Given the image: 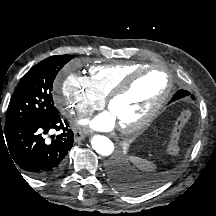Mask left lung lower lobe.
I'll use <instances>...</instances> for the list:
<instances>
[{
	"instance_id": "0a47b994",
	"label": "left lung lower lobe",
	"mask_w": 216,
	"mask_h": 216,
	"mask_svg": "<svg viewBox=\"0 0 216 216\" xmlns=\"http://www.w3.org/2000/svg\"><path fill=\"white\" fill-rule=\"evenodd\" d=\"M187 95L188 94H186L185 92H181L179 90L174 95L171 102L183 98ZM109 172L113 182L116 184L118 188L127 193H131L133 191V189L135 188L134 183L132 181L133 177L124 171L123 166L119 162H113L109 168Z\"/></svg>"
}]
</instances>
